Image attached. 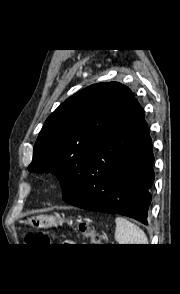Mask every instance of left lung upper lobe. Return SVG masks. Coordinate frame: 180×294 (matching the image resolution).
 I'll use <instances>...</instances> for the list:
<instances>
[{"label": "left lung upper lobe", "instance_id": "left-lung-upper-lobe-1", "mask_svg": "<svg viewBox=\"0 0 180 294\" xmlns=\"http://www.w3.org/2000/svg\"><path fill=\"white\" fill-rule=\"evenodd\" d=\"M135 99L118 82L94 84L75 93L46 119L28 170L55 173L63 198L73 194L94 153Z\"/></svg>", "mask_w": 180, "mask_h": 294}]
</instances>
